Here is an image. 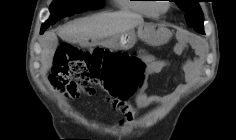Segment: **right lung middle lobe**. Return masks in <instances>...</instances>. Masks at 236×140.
<instances>
[{
  "instance_id": "obj_1",
  "label": "right lung middle lobe",
  "mask_w": 236,
  "mask_h": 140,
  "mask_svg": "<svg viewBox=\"0 0 236 140\" xmlns=\"http://www.w3.org/2000/svg\"><path fill=\"white\" fill-rule=\"evenodd\" d=\"M102 5V0H55L50 6L51 15L42 25L46 29L58 20Z\"/></svg>"
}]
</instances>
